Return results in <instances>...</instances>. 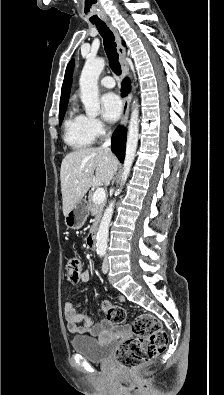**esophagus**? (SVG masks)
<instances>
[{
	"mask_svg": "<svg viewBox=\"0 0 224 395\" xmlns=\"http://www.w3.org/2000/svg\"><path fill=\"white\" fill-rule=\"evenodd\" d=\"M109 26L112 30V32L115 35L116 39V44H117V52L119 54V61L121 64L122 68V78H125L128 73V65L126 61V51L125 48L121 44V38L120 35L118 34L117 30L110 24ZM129 110H130V98L129 97H124L123 99V108H122V118H121V125L124 126L127 122L128 116H129Z\"/></svg>",
	"mask_w": 224,
	"mask_h": 395,
	"instance_id": "obj_1",
	"label": "esophagus"
}]
</instances>
